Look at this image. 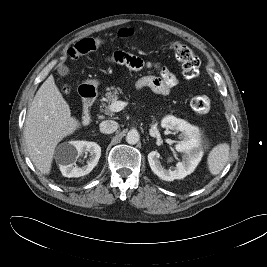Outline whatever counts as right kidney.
I'll use <instances>...</instances> for the list:
<instances>
[{
	"label": "right kidney",
	"instance_id": "1",
	"mask_svg": "<svg viewBox=\"0 0 267 267\" xmlns=\"http://www.w3.org/2000/svg\"><path fill=\"white\" fill-rule=\"evenodd\" d=\"M67 147L68 151H65L66 158L59 166L62 175L68 178L81 177L89 174L97 165L101 156V147L95 142L71 141ZM84 152H89L90 158L87 165L78 167L76 161Z\"/></svg>",
	"mask_w": 267,
	"mask_h": 267
}]
</instances>
